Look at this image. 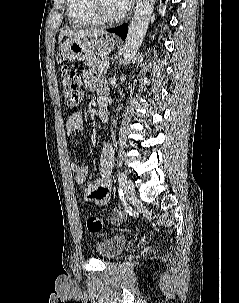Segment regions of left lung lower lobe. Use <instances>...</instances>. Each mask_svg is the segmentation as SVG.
<instances>
[{"label":"left lung lower lobe","instance_id":"obj_1","mask_svg":"<svg viewBox=\"0 0 239 303\" xmlns=\"http://www.w3.org/2000/svg\"><path fill=\"white\" fill-rule=\"evenodd\" d=\"M107 31L119 35L124 40L126 38V35H127V32H128V26H127V24H123L119 27L108 29Z\"/></svg>","mask_w":239,"mask_h":303}]
</instances>
